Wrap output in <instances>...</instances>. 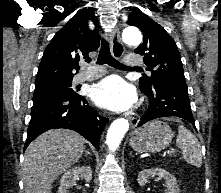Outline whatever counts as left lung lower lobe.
<instances>
[{"label":"left lung lower lobe","mask_w":221,"mask_h":193,"mask_svg":"<svg viewBox=\"0 0 221 193\" xmlns=\"http://www.w3.org/2000/svg\"><path fill=\"white\" fill-rule=\"evenodd\" d=\"M149 99V106L140 118L138 127L146 122L167 116H177L195 128L185 81L158 80L150 90H141Z\"/></svg>","instance_id":"left-lung-lower-lobe-1"}]
</instances>
